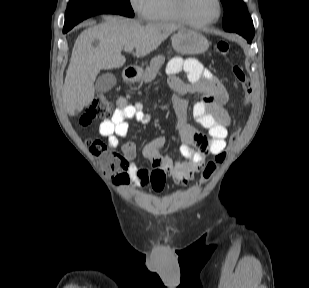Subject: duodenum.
<instances>
[{
    "label": "duodenum",
    "instance_id": "1",
    "mask_svg": "<svg viewBox=\"0 0 309 288\" xmlns=\"http://www.w3.org/2000/svg\"><path fill=\"white\" fill-rule=\"evenodd\" d=\"M136 69L132 66L126 67L124 69V78L128 82H132L136 78Z\"/></svg>",
    "mask_w": 309,
    "mask_h": 288
}]
</instances>
